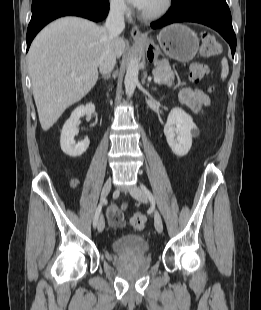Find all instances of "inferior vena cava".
Returning a JSON list of instances; mask_svg holds the SVG:
<instances>
[{
	"instance_id": "obj_1",
	"label": "inferior vena cava",
	"mask_w": 261,
	"mask_h": 310,
	"mask_svg": "<svg viewBox=\"0 0 261 310\" xmlns=\"http://www.w3.org/2000/svg\"><path fill=\"white\" fill-rule=\"evenodd\" d=\"M124 8L125 6L121 2L113 3L106 19L105 28L107 29L109 36L99 62V71L103 75H108L116 64L113 42L125 28Z\"/></svg>"
}]
</instances>
